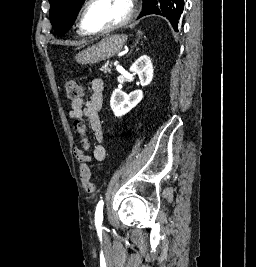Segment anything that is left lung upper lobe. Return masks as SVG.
I'll return each instance as SVG.
<instances>
[{"mask_svg":"<svg viewBox=\"0 0 256 267\" xmlns=\"http://www.w3.org/2000/svg\"><path fill=\"white\" fill-rule=\"evenodd\" d=\"M85 0H49L50 19L55 32L65 34L73 25ZM144 6L138 18L149 14L166 17L171 23L174 19V0H143Z\"/></svg>","mask_w":256,"mask_h":267,"instance_id":"obj_1","label":"left lung upper lobe"}]
</instances>
